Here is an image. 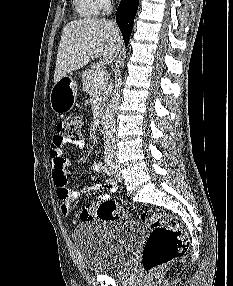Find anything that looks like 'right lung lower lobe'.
Instances as JSON below:
<instances>
[{
  "label": "right lung lower lobe",
  "mask_w": 233,
  "mask_h": 286,
  "mask_svg": "<svg viewBox=\"0 0 233 286\" xmlns=\"http://www.w3.org/2000/svg\"><path fill=\"white\" fill-rule=\"evenodd\" d=\"M138 4L139 0H121L116 11V22L123 35L125 45L129 42Z\"/></svg>",
  "instance_id": "right-lung-lower-lobe-1"
}]
</instances>
